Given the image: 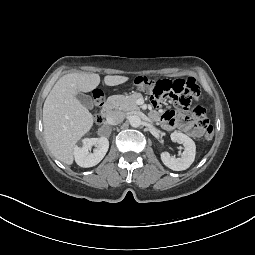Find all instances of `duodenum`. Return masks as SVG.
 I'll return each mask as SVG.
<instances>
[{
	"instance_id": "duodenum-1",
	"label": "duodenum",
	"mask_w": 255,
	"mask_h": 255,
	"mask_svg": "<svg viewBox=\"0 0 255 255\" xmlns=\"http://www.w3.org/2000/svg\"><path fill=\"white\" fill-rule=\"evenodd\" d=\"M113 112V104L112 102L108 101L104 104L102 108V116L108 118Z\"/></svg>"
}]
</instances>
